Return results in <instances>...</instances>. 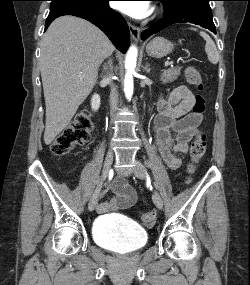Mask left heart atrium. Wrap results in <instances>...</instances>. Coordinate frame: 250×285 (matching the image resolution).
<instances>
[{
    "instance_id": "obj_1",
    "label": "left heart atrium",
    "mask_w": 250,
    "mask_h": 285,
    "mask_svg": "<svg viewBox=\"0 0 250 285\" xmlns=\"http://www.w3.org/2000/svg\"><path fill=\"white\" fill-rule=\"evenodd\" d=\"M115 7L120 12L137 19L144 18L151 13L148 1H117Z\"/></svg>"
}]
</instances>
